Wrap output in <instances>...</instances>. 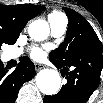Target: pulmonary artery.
Wrapping results in <instances>:
<instances>
[{
  "label": "pulmonary artery",
  "mask_w": 103,
  "mask_h": 103,
  "mask_svg": "<svg viewBox=\"0 0 103 103\" xmlns=\"http://www.w3.org/2000/svg\"><path fill=\"white\" fill-rule=\"evenodd\" d=\"M51 34L53 37L59 38L63 36L67 29V18L63 15L56 18H48ZM21 54V50L13 49L9 52L10 58H16Z\"/></svg>",
  "instance_id": "e3ab8cb5"
}]
</instances>
